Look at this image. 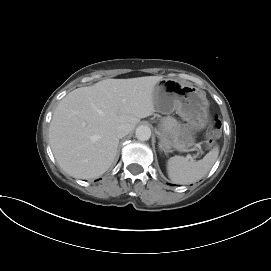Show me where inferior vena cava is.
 <instances>
[{
  "label": "inferior vena cava",
  "mask_w": 271,
  "mask_h": 271,
  "mask_svg": "<svg viewBox=\"0 0 271 271\" xmlns=\"http://www.w3.org/2000/svg\"><path fill=\"white\" fill-rule=\"evenodd\" d=\"M130 131H131V126L129 124H122L117 127L116 135L118 138H122L126 136L127 134H129Z\"/></svg>",
  "instance_id": "inferior-vena-cava-1"
}]
</instances>
